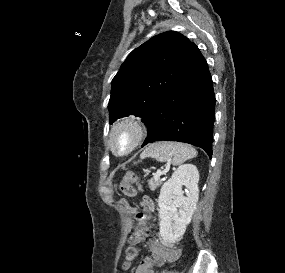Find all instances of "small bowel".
Returning <instances> with one entry per match:
<instances>
[{
  "label": "small bowel",
  "mask_w": 285,
  "mask_h": 273,
  "mask_svg": "<svg viewBox=\"0 0 285 273\" xmlns=\"http://www.w3.org/2000/svg\"><path fill=\"white\" fill-rule=\"evenodd\" d=\"M141 201L147 205L148 212L155 210V201L150 196H144ZM150 252L151 256L143 258L135 268L134 273H154L156 267L162 266L168 261L175 260L179 255V249L166 246L159 242L151 243Z\"/></svg>",
  "instance_id": "small-bowel-1"
}]
</instances>
